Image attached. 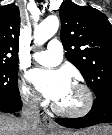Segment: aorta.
I'll return each mask as SVG.
<instances>
[{
  "mask_svg": "<svg viewBox=\"0 0 112 135\" xmlns=\"http://www.w3.org/2000/svg\"><path fill=\"white\" fill-rule=\"evenodd\" d=\"M59 19L57 16H49L43 20L34 31V41L37 45L44 44L57 32Z\"/></svg>",
  "mask_w": 112,
  "mask_h": 135,
  "instance_id": "aorta-1",
  "label": "aorta"
}]
</instances>
